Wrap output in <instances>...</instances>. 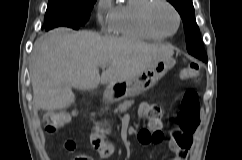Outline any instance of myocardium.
<instances>
[{
	"instance_id": "obj_1",
	"label": "myocardium",
	"mask_w": 242,
	"mask_h": 160,
	"mask_svg": "<svg viewBox=\"0 0 242 160\" xmlns=\"http://www.w3.org/2000/svg\"><path fill=\"white\" fill-rule=\"evenodd\" d=\"M158 4H164L168 6L175 14L177 19L176 29L172 33H162L158 31L151 21V12L153 8ZM140 21L144 29L153 36L159 38H169L177 34L180 29L182 18L178 9L168 0H149L140 11Z\"/></svg>"
}]
</instances>
